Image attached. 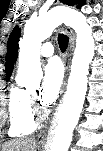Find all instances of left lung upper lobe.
Listing matches in <instances>:
<instances>
[{"label":"left lung upper lobe","instance_id":"1","mask_svg":"<svg viewBox=\"0 0 103 151\" xmlns=\"http://www.w3.org/2000/svg\"><path fill=\"white\" fill-rule=\"evenodd\" d=\"M63 3L68 4L69 6L75 5L76 8H81L85 4V0H63Z\"/></svg>","mask_w":103,"mask_h":151}]
</instances>
